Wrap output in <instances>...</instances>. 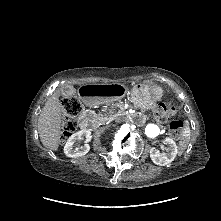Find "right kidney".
<instances>
[{"label":"right kidney","instance_id":"ca27d5eb","mask_svg":"<svg viewBox=\"0 0 221 221\" xmlns=\"http://www.w3.org/2000/svg\"><path fill=\"white\" fill-rule=\"evenodd\" d=\"M90 138L91 132L89 130H81L71 135L64 146L65 155L72 158L86 155L90 150V147L87 144V142L90 141ZM82 140H85L86 144L84 146L76 144Z\"/></svg>","mask_w":221,"mask_h":221}]
</instances>
